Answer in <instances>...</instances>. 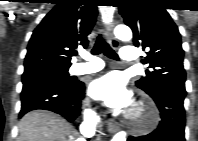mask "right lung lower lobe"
<instances>
[{
  "label": "right lung lower lobe",
  "instance_id": "obj_1",
  "mask_svg": "<svg viewBox=\"0 0 198 141\" xmlns=\"http://www.w3.org/2000/svg\"><path fill=\"white\" fill-rule=\"evenodd\" d=\"M84 83L77 81L72 86L40 81L23 84L19 117L36 109L49 110L73 121L80 115V102L84 98Z\"/></svg>",
  "mask_w": 198,
  "mask_h": 141
}]
</instances>
